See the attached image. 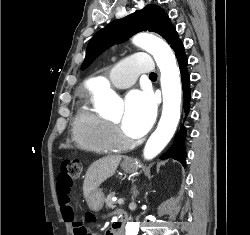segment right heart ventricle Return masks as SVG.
Segmentation results:
<instances>
[{
	"instance_id": "obj_1",
	"label": "right heart ventricle",
	"mask_w": 250,
	"mask_h": 235,
	"mask_svg": "<svg viewBox=\"0 0 250 235\" xmlns=\"http://www.w3.org/2000/svg\"><path fill=\"white\" fill-rule=\"evenodd\" d=\"M72 130L76 144L85 151L112 153L122 146L112 125L96 111L89 98L80 102Z\"/></svg>"
}]
</instances>
